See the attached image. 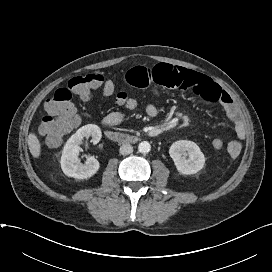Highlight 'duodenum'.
I'll list each match as a JSON object with an SVG mask.
<instances>
[{
  "instance_id": "1",
  "label": "duodenum",
  "mask_w": 272,
  "mask_h": 272,
  "mask_svg": "<svg viewBox=\"0 0 272 272\" xmlns=\"http://www.w3.org/2000/svg\"><path fill=\"white\" fill-rule=\"evenodd\" d=\"M106 137L114 142H119V143H136L139 139L138 137L134 135H129L126 133H121L113 130H107L105 132Z\"/></svg>"
}]
</instances>
